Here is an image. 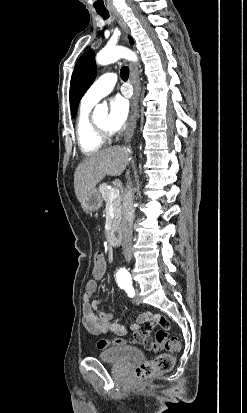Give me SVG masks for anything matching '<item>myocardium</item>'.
<instances>
[{
	"instance_id": "myocardium-1",
	"label": "myocardium",
	"mask_w": 247,
	"mask_h": 413,
	"mask_svg": "<svg viewBox=\"0 0 247 413\" xmlns=\"http://www.w3.org/2000/svg\"><path fill=\"white\" fill-rule=\"evenodd\" d=\"M96 132L98 134V137L102 140V141H109L110 140V134L103 128H96Z\"/></svg>"
}]
</instances>
